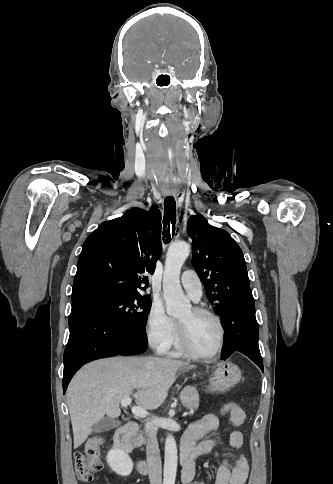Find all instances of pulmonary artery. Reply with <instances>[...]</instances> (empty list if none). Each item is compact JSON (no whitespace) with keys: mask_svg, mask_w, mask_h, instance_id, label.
I'll return each instance as SVG.
<instances>
[{"mask_svg":"<svg viewBox=\"0 0 333 484\" xmlns=\"http://www.w3.org/2000/svg\"><path fill=\"white\" fill-rule=\"evenodd\" d=\"M181 284L192 300H200L202 296V283L195 271H184L181 276Z\"/></svg>","mask_w":333,"mask_h":484,"instance_id":"e3ab8cb5","label":"pulmonary artery"}]
</instances>
